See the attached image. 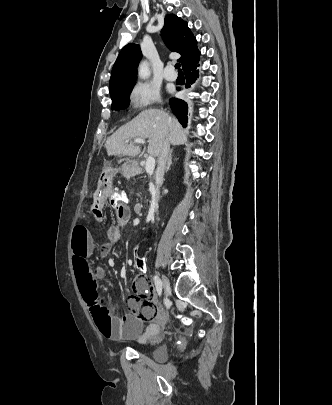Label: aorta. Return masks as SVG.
I'll use <instances>...</instances> for the list:
<instances>
[{"label": "aorta", "instance_id": "obj_1", "mask_svg": "<svg viewBox=\"0 0 332 405\" xmlns=\"http://www.w3.org/2000/svg\"><path fill=\"white\" fill-rule=\"evenodd\" d=\"M150 65L148 61H142L138 67V76L139 78L145 80L150 77Z\"/></svg>", "mask_w": 332, "mask_h": 405}]
</instances>
